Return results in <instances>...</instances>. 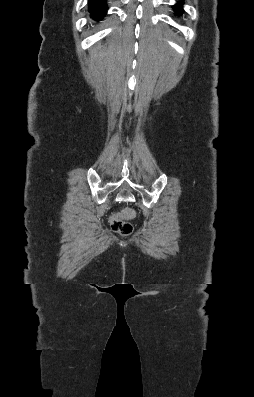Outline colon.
I'll list each match as a JSON object with an SVG mask.
<instances>
[{"mask_svg":"<svg viewBox=\"0 0 254 397\" xmlns=\"http://www.w3.org/2000/svg\"><path fill=\"white\" fill-rule=\"evenodd\" d=\"M135 217V211L131 208H123L119 212L112 215L110 219L111 228L114 232L128 236L133 231L130 220Z\"/></svg>","mask_w":254,"mask_h":397,"instance_id":"colon-1","label":"colon"}]
</instances>
